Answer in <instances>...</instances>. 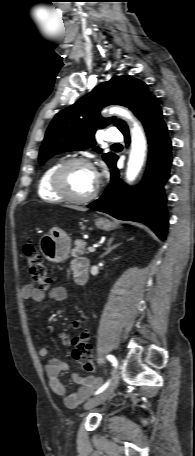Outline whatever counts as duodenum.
Instances as JSON below:
<instances>
[{
  "mask_svg": "<svg viewBox=\"0 0 195 456\" xmlns=\"http://www.w3.org/2000/svg\"><path fill=\"white\" fill-rule=\"evenodd\" d=\"M89 263L86 260L84 263L81 264L80 267L77 268L75 272V281L79 285H84L87 283L89 278V271H88Z\"/></svg>",
  "mask_w": 195,
  "mask_h": 456,
  "instance_id": "obj_1",
  "label": "duodenum"
}]
</instances>
